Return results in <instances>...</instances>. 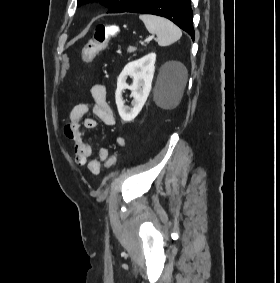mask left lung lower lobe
I'll use <instances>...</instances> for the list:
<instances>
[{
  "instance_id": "left-lung-lower-lobe-1",
  "label": "left lung lower lobe",
  "mask_w": 280,
  "mask_h": 283,
  "mask_svg": "<svg viewBox=\"0 0 280 283\" xmlns=\"http://www.w3.org/2000/svg\"><path fill=\"white\" fill-rule=\"evenodd\" d=\"M125 12L153 14L168 18L194 39L190 0H140Z\"/></svg>"
}]
</instances>
